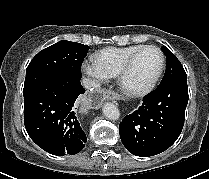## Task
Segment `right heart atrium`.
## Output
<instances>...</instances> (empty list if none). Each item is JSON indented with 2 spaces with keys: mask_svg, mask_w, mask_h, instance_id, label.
I'll list each match as a JSON object with an SVG mask.
<instances>
[{
  "mask_svg": "<svg viewBox=\"0 0 209 179\" xmlns=\"http://www.w3.org/2000/svg\"><path fill=\"white\" fill-rule=\"evenodd\" d=\"M83 70L85 71L86 74L89 76L93 77L95 80L98 82L104 81L105 76L98 70V68L95 66L94 63H88L85 62L83 64Z\"/></svg>",
  "mask_w": 209,
  "mask_h": 179,
  "instance_id": "right-heart-atrium-1",
  "label": "right heart atrium"
}]
</instances>
